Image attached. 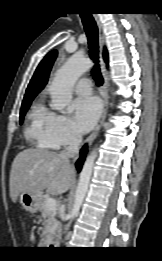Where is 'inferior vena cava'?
<instances>
[{
	"label": "inferior vena cava",
	"mask_w": 162,
	"mask_h": 261,
	"mask_svg": "<svg viewBox=\"0 0 162 261\" xmlns=\"http://www.w3.org/2000/svg\"><path fill=\"white\" fill-rule=\"evenodd\" d=\"M81 142L82 134L80 132H75L69 143V146L66 148V151L61 154L62 158L69 162V159L74 157L78 153Z\"/></svg>",
	"instance_id": "602c4592"
}]
</instances>
